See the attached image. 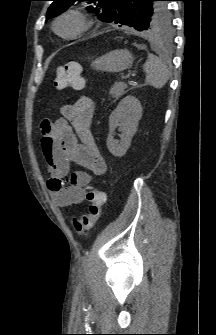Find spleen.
Here are the masks:
<instances>
[{
    "instance_id": "obj_1",
    "label": "spleen",
    "mask_w": 216,
    "mask_h": 335,
    "mask_svg": "<svg viewBox=\"0 0 216 335\" xmlns=\"http://www.w3.org/2000/svg\"><path fill=\"white\" fill-rule=\"evenodd\" d=\"M146 72L145 82L156 89L162 88L169 79V69L160 58L153 54L148 55V59L143 67Z\"/></svg>"
}]
</instances>
